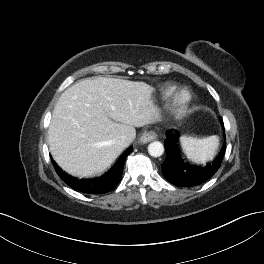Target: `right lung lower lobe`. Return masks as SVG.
Returning a JSON list of instances; mask_svg holds the SVG:
<instances>
[{
  "instance_id": "98d812e1",
  "label": "right lung lower lobe",
  "mask_w": 264,
  "mask_h": 264,
  "mask_svg": "<svg viewBox=\"0 0 264 264\" xmlns=\"http://www.w3.org/2000/svg\"><path fill=\"white\" fill-rule=\"evenodd\" d=\"M131 152V148L127 149L119 158L116 164L104 175L91 180H77L64 174L53 162L55 170L59 177L74 189L88 194H103L114 189L122 178L123 166L126 157Z\"/></svg>"
}]
</instances>
